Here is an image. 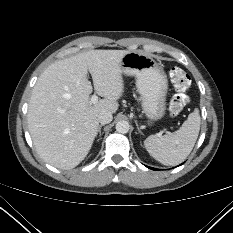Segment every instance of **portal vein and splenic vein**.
Returning a JSON list of instances; mask_svg holds the SVG:
<instances>
[{
    "instance_id": "portal-vein-and-splenic-vein-1",
    "label": "portal vein and splenic vein",
    "mask_w": 233,
    "mask_h": 233,
    "mask_svg": "<svg viewBox=\"0 0 233 233\" xmlns=\"http://www.w3.org/2000/svg\"><path fill=\"white\" fill-rule=\"evenodd\" d=\"M91 102H92L93 104L97 103V102H98V96H97V95H92V97H91Z\"/></svg>"
}]
</instances>
